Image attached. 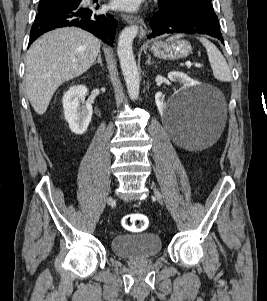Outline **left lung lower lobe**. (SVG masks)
Returning <instances> with one entry per match:
<instances>
[{
    "label": "left lung lower lobe",
    "instance_id": "0a47b994",
    "mask_svg": "<svg viewBox=\"0 0 267 301\" xmlns=\"http://www.w3.org/2000/svg\"><path fill=\"white\" fill-rule=\"evenodd\" d=\"M151 33L148 38H154L169 33L206 34L217 38L223 43L220 25L211 23L202 17L183 11L163 10L155 13L151 22Z\"/></svg>",
    "mask_w": 267,
    "mask_h": 301
}]
</instances>
